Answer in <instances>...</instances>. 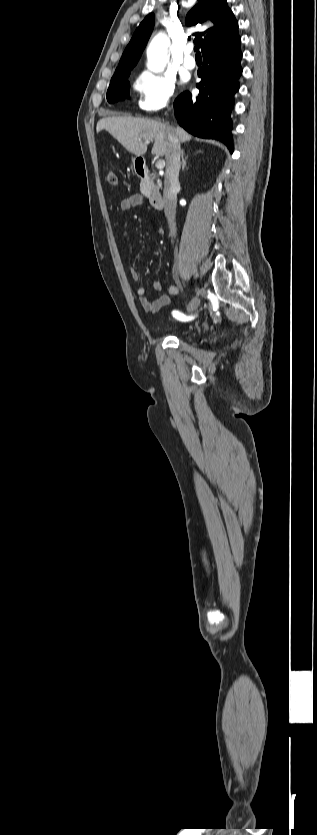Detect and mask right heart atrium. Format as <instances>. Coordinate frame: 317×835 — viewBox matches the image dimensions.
Listing matches in <instances>:
<instances>
[{"label":"right heart atrium","mask_w":317,"mask_h":835,"mask_svg":"<svg viewBox=\"0 0 317 835\" xmlns=\"http://www.w3.org/2000/svg\"><path fill=\"white\" fill-rule=\"evenodd\" d=\"M175 78L167 73L144 70L135 79L138 107L145 112H157L165 108L175 95Z\"/></svg>","instance_id":"right-heart-atrium-1"}]
</instances>
